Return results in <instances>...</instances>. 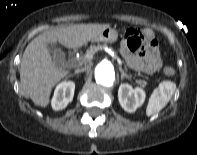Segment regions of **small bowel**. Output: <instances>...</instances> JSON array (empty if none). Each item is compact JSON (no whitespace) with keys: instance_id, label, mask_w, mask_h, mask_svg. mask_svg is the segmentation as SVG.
Here are the masks:
<instances>
[{"instance_id":"obj_1","label":"small bowel","mask_w":197,"mask_h":155,"mask_svg":"<svg viewBox=\"0 0 197 155\" xmlns=\"http://www.w3.org/2000/svg\"><path fill=\"white\" fill-rule=\"evenodd\" d=\"M145 34L148 36L151 35L149 31H145ZM121 53L126 61V64L139 73H153L158 71L162 66L161 58L156 45L150 46L144 53L135 55L128 47L126 38H124Z\"/></svg>"}]
</instances>
